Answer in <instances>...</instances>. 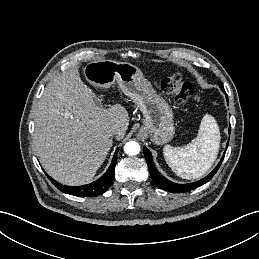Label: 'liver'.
I'll use <instances>...</instances> for the list:
<instances>
[{
  "mask_svg": "<svg viewBox=\"0 0 259 259\" xmlns=\"http://www.w3.org/2000/svg\"><path fill=\"white\" fill-rule=\"evenodd\" d=\"M34 112L39 160L52 178L70 186L93 179L113 144L109 130L118 127L120 140L129 126L127 110L120 104L102 108L76 68L48 83Z\"/></svg>",
  "mask_w": 259,
  "mask_h": 259,
  "instance_id": "6515ba94",
  "label": "liver"
}]
</instances>
